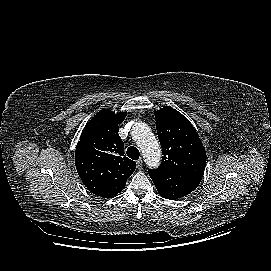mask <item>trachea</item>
<instances>
[{
	"instance_id": "1",
	"label": "trachea",
	"mask_w": 271,
	"mask_h": 271,
	"mask_svg": "<svg viewBox=\"0 0 271 271\" xmlns=\"http://www.w3.org/2000/svg\"><path fill=\"white\" fill-rule=\"evenodd\" d=\"M127 156L133 160H138L139 157H140V152L139 150L134 147V146H130L128 149H127V152H126Z\"/></svg>"
}]
</instances>
